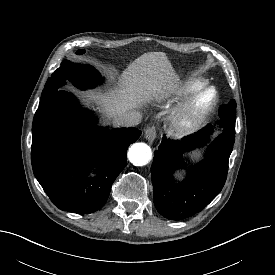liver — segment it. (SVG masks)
I'll return each instance as SVG.
<instances>
[{
    "mask_svg": "<svg viewBox=\"0 0 275 275\" xmlns=\"http://www.w3.org/2000/svg\"><path fill=\"white\" fill-rule=\"evenodd\" d=\"M176 77L165 53L148 52L135 59L123 71L118 88L106 92L90 91L87 98L94 100L102 112L112 120V125L116 126V120L120 115L131 112L144 100L157 96L163 85Z\"/></svg>",
    "mask_w": 275,
    "mask_h": 275,
    "instance_id": "liver-1",
    "label": "liver"
}]
</instances>
